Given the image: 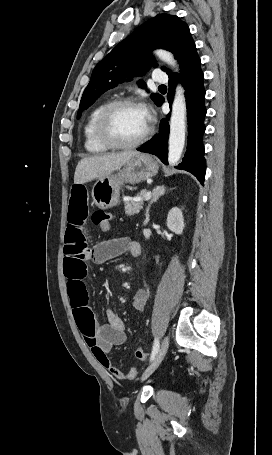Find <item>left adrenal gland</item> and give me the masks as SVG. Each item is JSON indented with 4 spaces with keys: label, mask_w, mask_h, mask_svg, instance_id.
Returning <instances> with one entry per match:
<instances>
[{
    "label": "left adrenal gland",
    "mask_w": 272,
    "mask_h": 455,
    "mask_svg": "<svg viewBox=\"0 0 272 455\" xmlns=\"http://www.w3.org/2000/svg\"><path fill=\"white\" fill-rule=\"evenodd\" d=\"M165 191H166V188L164 186H157L156 188L153 189L151 201L148 204V207L146 209V214H145L146 219H145L144 225H146L149 222V210H150L151 205L154 202H157V200H159V198L165 194Z\"/></svg>",
    "instance_id": "1"
}]
</instances>
